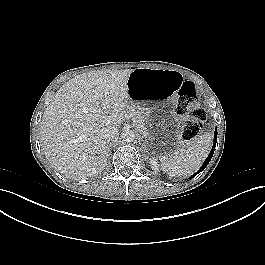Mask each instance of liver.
<instances>
[{
    "mask_svg": "<svg viewBox=\"0 0 265 265\" xmlns=\"http://www.w3.org/2000/svg\"><path fill=\"white\" fill-rule=\"evenodd\" d=\"M132 71H95L72 78L47 106L40 128L42 150L65 177L87 179L105 168L109 150L101 129L118 127L129 111Z\"/></svg>",
    "mask_w": 265,
    "mask_h": 265,
    "instance_id": "obj_1",
    "label": "liver"
}]
</instances>
